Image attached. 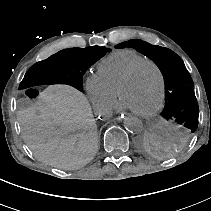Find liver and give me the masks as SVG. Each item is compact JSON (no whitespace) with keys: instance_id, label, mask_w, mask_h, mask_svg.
Returning <instances> with one entry per match:
<instances>
[{"instance_id":"6515ba94","label":"liver","mask_w":211,"mask_h":211,"mask_svg":"<svg viewBox=\"0 0 211 211\" xmlns=\"http://www.w3.org/2000/svg\"><path fill=\"white\" fill-rule=\"evenodd\" d=\"M17 120L27 146L51 166L79 168L96 153L91 107L83 93L69 85L49 86L33 106L18 111Z\"/></svg>"}]
</instances>
